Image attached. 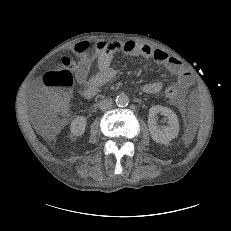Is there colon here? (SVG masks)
<instances>
[{"label":"colon","instance_id":"colon-1","mask_svg":"<svg viewBox=\"0 0 231 231\" xmlns=\"http://www.w3.org/2000/svg\"><path fill=\"white\" fill-rule=\"evenodd\" d=\"M43 83L50 111L57 115L64 114L70 102V90L73 86L72 73L68 70L48 71L43 76ZM164 94L169 100H176L179 97V90L174 84H167L164 87Z\"/></svg>","mask_w":231,"mask_h":231}]
</instances>
